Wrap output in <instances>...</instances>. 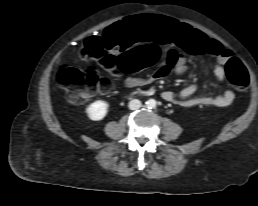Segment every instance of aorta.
<instances>
[{
	"label": "aorta",
	"mask_w": 258,
	"mask_h": 206,
	"mask_svg": "<svg viewBox=\"0 0 258 206\" xmlns=\"http://www.w3.org/2000/svg\"><path fill=\"white\" fill-rule=\"evenodd\" d=\"M147 106H149L150 108H154L156 106V101L154 99H150L149 101H147Z\"/></svg>",
	"instance_id": "762f6f07"
}]
</instances>
